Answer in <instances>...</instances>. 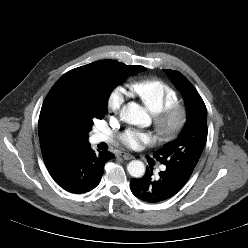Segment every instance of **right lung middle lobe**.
Returning <instances> with one entry per match:
<instances>
[{"label": "right lung middle lobe", "instance_id": "obj_1", "mask_svg": "<svg viewBox=\"0 0 248 248\" xmlns=\"http://www.w3.org/2000/svg\"><path fill=\"white\" fill-rule=\"evenodd\" d=\"M144 67L128 66L114 60H101L75 68L59 78L42 105L48 115L75 126L88 140L95 119L107 111L113 88L127 76Z\"/></svg>", "mask_w": 248, "mask_h": 248}]
</instances>
